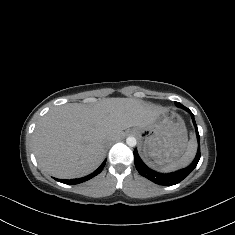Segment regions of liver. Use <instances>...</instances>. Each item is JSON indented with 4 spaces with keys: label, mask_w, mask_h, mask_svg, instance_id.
Returning a JSON list of instances; mask_svg holds the SVG:
<instances>
[{
    "label": "liver",
    "mask_w": 235,
    "mask_h": 235,
    "mask_svg": "<svg viewBox=\"0 0 235 235\" xmlns=\"http://www.w3.org/2000/svg\"><path fill=\"white\" fill-rule=\"evenodd\" d=\"M166 111L132 98H110L92 108L82 104L55 107L36 125L34 154L43 171L58 178L84 176L103 160L106 143L130 127L144 129Z\"/></svg>",
    "instance_id": "1"
}]
</instances>
